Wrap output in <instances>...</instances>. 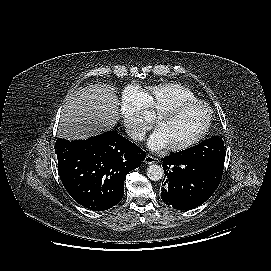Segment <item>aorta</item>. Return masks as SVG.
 <instances>
[{
	"instance_id": "obj_1",
	"label": "aorta",
	"mask_w": 271,
	"mask_h": 271,
	"mask_svg": "<svg viewBox=\"0 0 271 271\" xmlns=\"http://www.w3.org/2000/svg\"><path fill=\"white\" fill-rule=\"evenodd\" d=\"M164 170L160 165L152 164L147 168V176L152 181H158L162 179Z\"/></svg>"
}]
</instances>
